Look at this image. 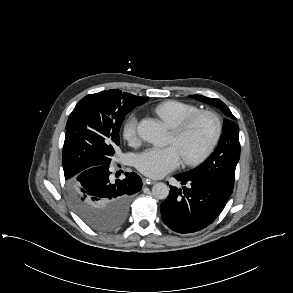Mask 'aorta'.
<instances>
[{
  "instance_id": "obj_1",
  "label": "aorta",
  "mask_w": 293,
  "mask_h": 293,
  "mask_svg": "<svg viewBox=\"0 0 293 293\" xmlns=\"http://www.w3.org/2000/svg\"><path fill=\"white\" fill-rule=\"evenodd\" d=\"M137 131L141 138L152 144L162 145L166 141L167 129L159 120L153 118L142 119L138 124ZM169 190L165 183L159 182L152 187V195L163 200L167 198Z\"/></svg>"
}]
</instances>
